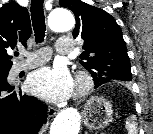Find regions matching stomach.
<instances>
[{"instance_id": "obj_1", "label": "stomach", "mask_w": 153, "mask_h": 134, "mask_svg": "<svg viewBox=\"0 0 153 134\" xmlns=\"http://www.w3.org/2000/svg\"><path fill=\"white\" fill-rule=\"evenodd\" d=\"M82 117L89 130L103 129L112 122V105L102 97H92L84 105Z\"/></svg>"}]
</instances>
